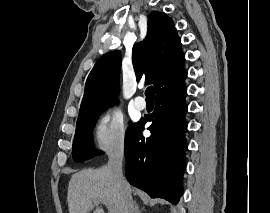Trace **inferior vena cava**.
I'll use <instances>...</instances> for the list:
<instances>
[{
  "label": "inferior vena cava",
  "mask_w": 270,
  "mask_h": 213,
  "mask_svg": "<svg viewBox=\"0 0 270 213\" xmlns=\"http://www.w3.org/2000/svg\"><path fill=\"white\" fill-rule=\"evenodd\" d=\"M124 153L123 147H117L112 150L109 154L108 168L117 181L118 185L123 190L124 197V213H133V202L131 195L127 188V182L122 173V163H123Z\"/></svg>",
  "instance_id": "inferior-vena-cava-1"
}]
</instances>
